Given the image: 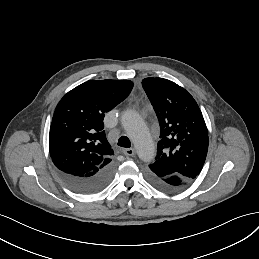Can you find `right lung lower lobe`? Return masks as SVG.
<instances>
[{"label":"right lung lower lobe","instance_id":"98d812e1","mask_svg":"<svg viewBox=\"0 0 259 259\" xmlns=\"http://www.w3.org/2000/svg\"><path fill=\"white\" fill-rule=\"evenodd\" d=\"M115 171L114 161L90 175L78 176L58 169L61 179L74 191L92 194L105 189L111 182Z\"/></svg>","mask_w":259,"mask_h":259}]
</instances>
